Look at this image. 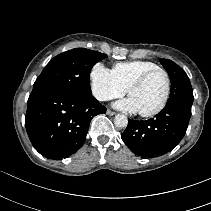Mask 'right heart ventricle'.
<instances>
[{"instance_id": "1", "label": "right heart ventricle", "mask_w": 211, "mask_h": 211, "mask_svg": "<svg viewBox=\"0 0 211 211\" xmlns=\"http://www.w3.org/2000/svg\"><path fill=\"white\" fill-rule=\"evenodd\" d=\"M158 67L157 64L150 61L135 60L116 63L112 72L119 84L127 90L142 74Z\"/></svg>"}]
</instances>
